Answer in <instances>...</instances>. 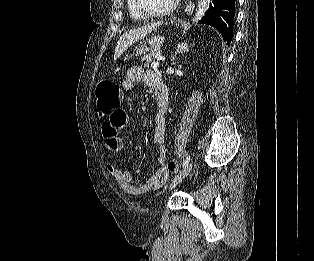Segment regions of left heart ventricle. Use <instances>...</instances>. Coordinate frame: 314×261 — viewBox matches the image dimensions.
Here are the masks:
<instances>
[{"label":"left heart ventricle","mask_w":314,"mask_h":261,"mask_svg":"<svg viewBox=\"0 0 314 261\" xmlns=\"http://www.w3.org/2000/svg\"><path fill=\"white\" fill-rule=\"evenodd\" d=\"M142 2L147 8L159 11L168 8L173 0H142Z\"/></svg>","instance_id":"left-heart-ventricle-1"}]
</instances>
